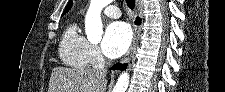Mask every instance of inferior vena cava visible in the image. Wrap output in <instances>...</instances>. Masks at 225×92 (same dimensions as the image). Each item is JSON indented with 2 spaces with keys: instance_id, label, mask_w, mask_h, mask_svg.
<instances>
[{
  "instance_id": "inferior-vena-cava-1",
  "label": "inferior vena cava",
  "mask_w": 225,
  "mask_h": 92,
  "mask_svg": "<svg viewBox=\"0 0 225 92\" xmlns=\"http://www.w3.org/2000/svg\"><path fill=\"white\" fill-rule=\"evenodd\" d=\"M107 65H110V61H109V62H107Z\"/></svg>"
}]
</instances>
